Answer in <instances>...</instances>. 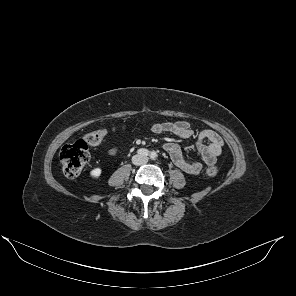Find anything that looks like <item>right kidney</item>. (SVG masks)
Wrapping results in <instances>:
<instances>
[{
	"mask_svg": "<svg viewBox=\"0 0 296 296\" xmlns=\"http://www.w3.org/2000/svg\"><path fill=\"white\" fill-rule=\"evenodd\" d=\"M102 173V169L97 167L90 171V176L92 178H99Z\"/></svg>",
	"mask_w": 296,
	"mask_h": 296,
	"instance_id": "obj_1",
	"label": "right kidney"
}]
</instances>
